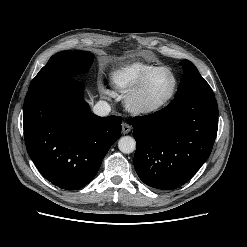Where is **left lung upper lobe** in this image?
Segmentation results:
<instances>
[{"label":"left lung upper lobe","instance_id":"1","mask_svg":"<svg viewBox=\"0 0 247 247\" xmlns=\"http://www.w3.org/2000/svg\"><path fill=\"white\" fill-rule=\"evenodd\" d=\"M180 65L183 67V75L175 96H179L190 91L213 92L193 63L188 60H183L180 62Z\"/></svg>","mask_w":247,"mask_h":247}]
</instances>
